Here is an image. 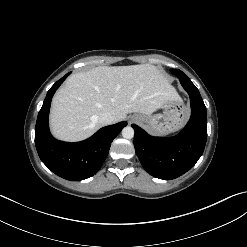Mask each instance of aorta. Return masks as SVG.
<instances>
[{
	"mask_svg": "<svg viewBox=\"0 0 247 247\" xmlns=\"http://www.w3.org/2000/svg\"><path fill=\"white\" fill-rule=\"evenodd\" d=\"M122 136L126 139H131L134 137V129L131 126H126L122 130Z\"/></svg>",
	"mask_w": 247,
	"mask_h": 247,
	"instance_id": "obj_1",
	"label": "aorta"
}]
</instances>
